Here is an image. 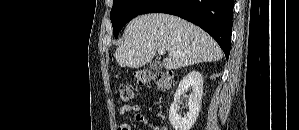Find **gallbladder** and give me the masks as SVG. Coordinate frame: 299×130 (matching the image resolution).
Returning a JSON list of instances; mask_svg holds the SVG:
<instances>
[{"mask_svg":"<svg viewBox=\"0 0 299 130\" xmlns=\"http://www.w3.org/2000/svg\"><path fill=\"white\" fill-rule=\"evenodd\" d=\"M150 67L153 69V70H159L162 68V64L160 62H157V61H153L150 63Z\"/></svg>","mask_w":299,"mask_h":130,"instance_id":"bac80fb5","label":"gallbladder"}]
</instances>
